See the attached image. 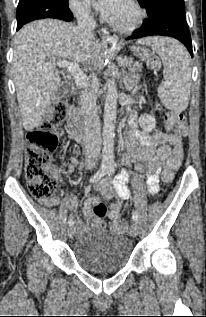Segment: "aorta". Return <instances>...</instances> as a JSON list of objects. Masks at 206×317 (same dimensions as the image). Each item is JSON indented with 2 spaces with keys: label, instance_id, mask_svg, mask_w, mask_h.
<instances>
[{
  "label": "aorta",
  "instance_id": "aorta-1",
  "mask_svg": "<svg viewBox=\"0 0 206 317\" xmlns=\"http://www.w3.org/2000/svg\"><path fill=\"white\" fill-rule=\"evenodd\" d=\"M106 87L107 95L104 105L103 118L102 166L112 167L114 163V132L118 93L115 80H109L106 84Z\"/></svg>",
  "mask_w": 206,
  "mask_h": 317
}]
</instances>
